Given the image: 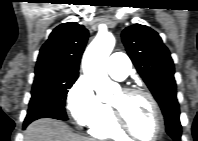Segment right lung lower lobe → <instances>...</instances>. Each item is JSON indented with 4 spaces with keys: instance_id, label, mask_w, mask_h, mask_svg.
Here are the masks:
<instances>
[{
    "instance_id": "98d812e1",
    "label": "right lung lower lobe",
    "mask_w": 198,
    "mask_h": 141,
    "mask_svg": "<svg viewBox=\"0 0 198 141\" xmlns=\"http://www.w3.org/2000/svg\"><path fill=\"white\" fill-rule=\"evenodd\" d=\"M28 124L24 123L23 128H26Z\"/></svg>"
}]
</instances>
